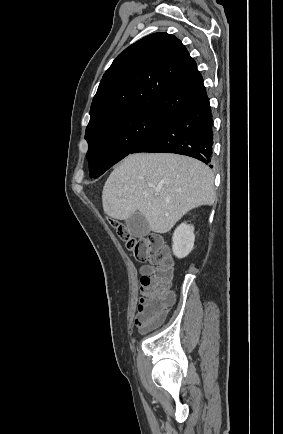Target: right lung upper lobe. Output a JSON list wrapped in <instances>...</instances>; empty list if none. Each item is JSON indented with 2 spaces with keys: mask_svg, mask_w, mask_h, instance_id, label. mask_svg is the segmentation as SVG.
<instances>
[{
  "mask_svg": "<svg viewBox=\"0 0 283 434\" xmlns=\"http://www.w3.org/2000/svg\"><path fill=\"white\" fill-rule=\"evenodd\" d=\"M206 96L197 64L181 41L154 33L126 48L105 72L87 128L140 111L171 118Z\"/></svg>",
  "mask_w": 283,
  "mask_h": 434,
  "instance_id": "obj_1",
  "label": "right lung upper lobe"
}]
</instances>
